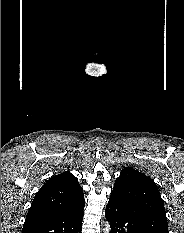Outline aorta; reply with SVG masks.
Segmentation results:
<instances>
[{
    "mask_svg": "<svg viewBox=\"0 0 184 233\" xmlns=\"http://www.w3.org/2000/svg\"><path fill=\"white\" fill-rule=\"evenodd\" d=\"M109 225H106V229H105V231H106V233H108L109 232Z\"/></svg>",
    "mask_w": 184,
    "mask_h": 233,
    "instance_id": "762f6f07",
    "label": "aorta"
}]
</instances>
